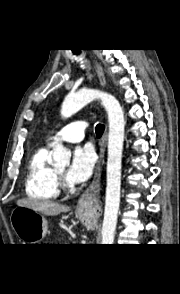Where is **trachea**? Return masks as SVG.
<instances>
[{
  "label": "trachea",
  "instance_id": "1",
  "mask_svg": "<svg viewBox=\"0 0 180 294\" xmlns=\"http://www.w3.org/2000/svg\"><path fill=\"white\" fill-rule=\"evenodd\" d=\"M75 52V51H74ZM104 125L103 124H98L95 128L96 136L101 137L103 132H104Z\"/></svg>",
  "mask_w": 180,
  "mask_h": 294
}]
</instances>
